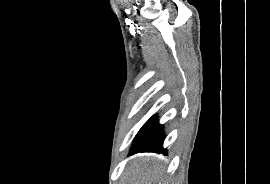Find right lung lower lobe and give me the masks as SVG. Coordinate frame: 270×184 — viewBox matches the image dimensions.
I'll return each instance as SVG.
<instances>
[{
  "mask_svg": "<svg viewBox=\"0 0 270 184\" xmlns=\"http://www.w3.org/2000/svg\"><path fill=\"white\" fill-rule=\"evenodd\" d=\"M163 141V126L159 124L155 116H152L136 135L129 155L138 152H160L166 154V149L163 148Z\"/></svg>",
  "mask_w": 270,
  "mask_h": 184,
  "instance_id": "1",
  "label": "right lung lower lobe"
}]
</instances>
